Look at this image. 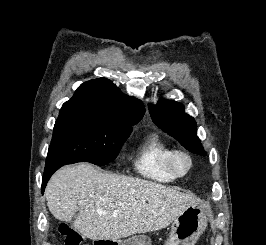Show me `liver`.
Here are the masks:
<instances>
[{
    "mask_svg": "<svg viewBox=\"0 0 266 245\" xmlns=\"http://www.w3.org/2000/svg\"><path fill=\"white\" fill-rule=\"evenodd\" d=\"M47 207L55 219L69 223L87 239H125L135 233L165 229L194 205L192 195L171 187L101 173L89 163L66 165L54 173L46 189ZM105 209L106 213H98Z\"/></svg>",
    "mask_w": 266,
    "mask_h": 245,
    "instance_id": "6515ba94",
    "label": "liver"
}]
</instances>
